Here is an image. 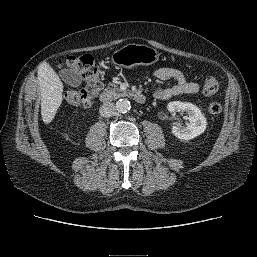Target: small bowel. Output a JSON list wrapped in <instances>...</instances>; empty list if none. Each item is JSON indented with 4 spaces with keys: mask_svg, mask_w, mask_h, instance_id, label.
<instances>
[{
    "mask_svg": "<svg viewBox=\"0 0 257 257\" xmlns=\"http://www.w3.org/2000/svg\"><path fill=\"white\" fill-rule=\"evenodd\" d=\"M155 76L160 80H175L176 84L159 89L154 96L159 100H168L180 94H195L199 92L200 86L198 83L189 81L185 75L176 68L162 67L155 71Z\"/></svg>",
    "mask_w": 257,
    "mask_h": 257,
    "instance_id": "small-bowel-1",
    "label": "small bowel"
}]
</instances>
